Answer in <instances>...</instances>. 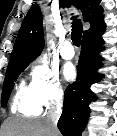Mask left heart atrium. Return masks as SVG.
<instances>
[{"label":"left heart atrium","mask_w":117,"mask_h":136,"mask_svg":"<svg viewBox=\"0 0 117 136\" xmlns=\"http://www.w3.org/2000/svg\"><path fill=\"white\" fill-rule=\"evenodd\" d=\"M64 76L67 80H71L75 76V68L73 65H67L64 69Z\"/></svg>","instance_id":"39dd6f15"}]
</instances>
